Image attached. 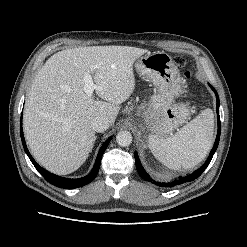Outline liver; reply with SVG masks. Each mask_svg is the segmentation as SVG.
<instances>
[{
	"label": "liver",
	"mask_w": 247,
	"mask_h": 247,
	"mask_svg": "<svg viewBox=\"0 0 247 247\" xmlns=\"http://www.w3.org/2000/svg\"><path fill=\"white\" fill-rule=\"evenodd\" d=\"M147 50L129 46L67 49L51 56L35 77L24 111V132L37 162L56 174L76 171L95 141L91 122L112 126L135 89L133 63ZM102 87L96 100L84 91V75Z\"/></svg>",
	"instance_id": "6515ba94"
}]
</instances>
